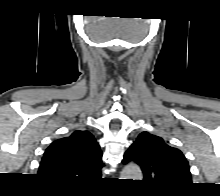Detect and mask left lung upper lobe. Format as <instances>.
I'll return each instance as SVG.
<instances>
[{
  "mask_svg": "<svg viewBox=\"0 0 220 196\" xmlns=\"http://www.w3.org/2000/svg\"><path fill=\"white\" fill-rule=\"evenodd\" d=\"M140 165L144 182L161 193H175L192 184L189 164L176 148L148 132H142L126 151L123 163Z\"/></svg>",
  "mask_w": 220,
  "mask_h": 196,
  "instance_id": "obj_1",
  "label": "left lung upper lobe"
}]
</instances>
